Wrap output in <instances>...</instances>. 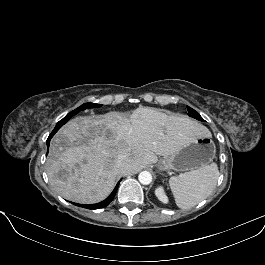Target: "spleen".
<instances>
[{
    "label": "spleen",
    "instance_id": "obj_1",
    "mask_svg": "<svg viewBox=\"0 0 265 265\" xmlns=\"http://www.w3.org/2000/svg\"><path fill=\"white\" fill-rule=\"evenodd\" d=\"M218 177L219 170L215 163L172 176L169 185L176 205L182 209L194 207L211 194Z\"/></svg>",
    "mask_w": 265,
    "mask_h": 265
}]
</instances>
